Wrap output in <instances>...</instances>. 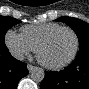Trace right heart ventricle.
<instances>
[{
  "label": "right heart ventricle",
  "mask_w": 89,
  "mask_h": 89,
  "mask_svg": "<svg viewBox=\"0 0 89 89\" xmlns=\"http://www.w3.org/2000/svg\"><path fill=\"white\" fill-rule=\"evenodd\" d=\"M61 27L57 23L31 24L21 27V36L36 50L39 42L51 31Z\"/></svg>",
  "instance_id": "e07e8e85"
}]
</instances>
